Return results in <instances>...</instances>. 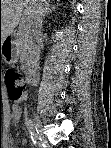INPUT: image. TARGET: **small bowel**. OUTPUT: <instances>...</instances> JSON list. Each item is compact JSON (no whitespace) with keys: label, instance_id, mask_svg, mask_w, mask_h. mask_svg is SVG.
Listing matches in <instances>:
<instances>
[{"label":"small bowel","instance_id":"c3829d8e","mask_svg":"<svg viewBox=\"0 0 111 148\" xmlns=\"http://www.w3.org/2000/svg\"><path fill=\"white\" fill-rule=\"evenodd\" d=\"M20 114H21V108H20V106L18 104H15L12 107L9 118L12 121H16L19 118ZM6 147H13V140L12 139L8 140V142L6 144Z\"/></svg>","mask_w":111,"mask_h":148}]
</instances>
